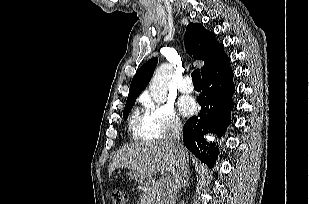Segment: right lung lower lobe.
Instances as JSON below:
<instances>
[{"label":"right lung lower lobe","instance_id":"obj_1","mask_svg":"<svg viewBox=\"0 0 309 204\" xmlns=\"http://www.w3.org/2000/svg\"><path fill=\"white\" fill-rule=\"evenodd\" d=\"M202 86L197 100L201 111L185 123L183 142L199 160L211 164L216 161L218 147L213 143L207 144L204 135L211 131L222 136L231 122L235 86L230 64L217 73L204 76Z\"/></svg>","mask_w":309,"mask_h":204}]
</instances>
